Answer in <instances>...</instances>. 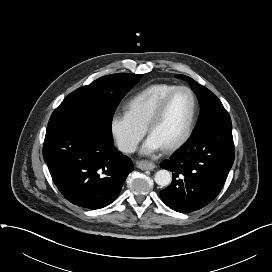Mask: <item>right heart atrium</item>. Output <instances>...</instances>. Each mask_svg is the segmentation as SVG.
Returning a JSON list of instances; mask_svg holds the SVG:
<instances>
[{
    "mask_svg": "<svg viewBox=\"0 0 272 272\" xmlns=\"http://www.w3.org/2000/svg\"><path fill=\"white\" fill-rule=\"evenodd\" d=\"M110 132L122 152L132 153L144 137L146 128L137 124L127 112H115L110 119Z\"/></svg>",
    "mask_w": 272,
    "mask_h": 272,
    "instance_id": "obj_1",
    "label": "right heart atrium"
}]
</instances>
